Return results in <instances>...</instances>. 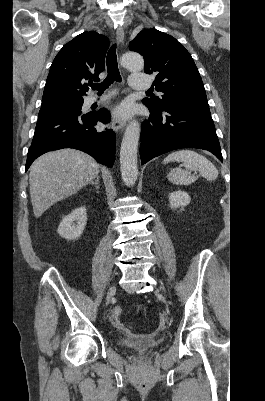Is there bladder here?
<instances>
[{
	"mask_svg": "<svg viewBox=\"0 0 265 401\" xmlns=\"http://www.w3.org/2000/svg\"><path fill=\"white\" fill-rule=\"evenodd\" d=\"M121 346L127 347L131 350L143 351L151 347L160 345V340L148 336H129L125 339H119Z\"/></svg>",
	"mask_w": 265,
	"mask_h": 401,
	"instance_id": "31cf9c89",
	"label": "bladder"
}]
</instances>
